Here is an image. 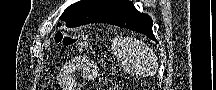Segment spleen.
Returning a JSON list of instances; mask_svg holds the SVG:
<instances>
[{
	"mask_svg": "<svg viewBox=\"0 0 216 90\" xmlns=\"http://www.w3.org/2000/svg\"><path fill=\"white\" fill-rule=\"evenodd\" d=\"M112 50L127 72L148 76L155 56L147 44L133 38H117L113 40Z\"/></svg>",
	"mask_w": 216,
	"mask_h": 90,
	"instance_id": "spleen-1",
	"label": "spleen"
}]
</instances>
